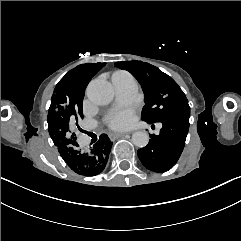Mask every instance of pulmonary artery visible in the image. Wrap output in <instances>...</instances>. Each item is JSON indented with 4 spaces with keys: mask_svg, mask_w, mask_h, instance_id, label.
<instances>
[{
    "mask_svg": "<svg viewBox=\"0 0 241 241\" xmlns=\"http://www.w3.org/2000/svg\"><path fill=\"white\" fill-rule=\"evenodd\" d=\"M111 80L116 90L115 101L105 106L104 113L107 117L114 118L119 113V107L130 103L134 92V80L133 77L126 72L113 74Z\"/></svg>",
    "mask_w": 241,
    "mask_h": 241,
    "instance_id": "1",
    "label": "pulmonary artery"
}]
</instances>
